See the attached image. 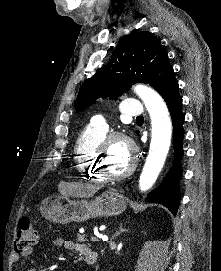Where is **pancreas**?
<instances>
[{
    "mask_svg": "<svg viewBox=\"0 0 221 271\" xmlns=\"http://www.w3.org/2000/svg\"><path fill=\"white\" fill-rule=\"evenodd\" d=\"M77 242H84V244H91V239H87L86 237H77L76 238Z\"/></svg>",
    "mask_w": 221,
    "mask_h": 271,
    "instance_id": "pancreas-1",
    "label": "pancreas"
}]
</instances>
